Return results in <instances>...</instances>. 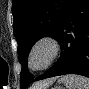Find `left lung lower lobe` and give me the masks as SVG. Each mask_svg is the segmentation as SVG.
Wrapping results in <instances>:
<instances>
[{"instance_id": "1", "label": "left lung lower lobe", "mask_w": 89, "mask_h": 89, "mask_svg": "<svg viewBox=\"0 0 89 89\" xmlns=\"http://www.w3.org/2000/svg\"><path fill=\"white\" fill-rule=\"evenodd\" d=\"M56 40L60 59L36 80L64 74L89 77V0H71Z\"/></svg>"}]
</instances>
